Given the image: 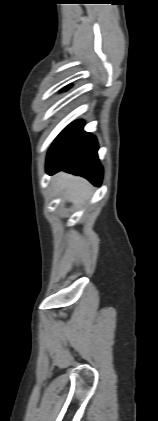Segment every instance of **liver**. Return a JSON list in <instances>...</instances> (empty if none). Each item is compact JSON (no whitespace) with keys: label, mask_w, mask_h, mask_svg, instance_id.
I'll return each instance as SVG.
<instances>
[{"label":"liver","mask_w":158,"mask_h":421,"mask_svg":"<svg viewBox=\"0 0 158 421\" xmlns=\"http://www.w3.org/2000/svg\"><path fill=\"white\" fill-rule=\"evenodd\" d=\"M56 184L58 191L75 205L83 203L89 197V184L80 177L59 173L56 175Z\"/></svg>","instance_id":"6515ba94"}]
</instances>
